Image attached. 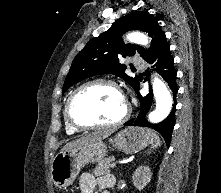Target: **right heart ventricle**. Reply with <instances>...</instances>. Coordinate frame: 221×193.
<instances>
[{
	"instance_id": "e07e8e85",
	"label": "right heart ventricle",
	"mask_w": 221,
	"mask_h": 193,
	"mask_svg": "<svg viewBox=\"0 0 221 193\" xmlns=\"http://www.w3.org/2000/svg\"><path fill=\"white\" fill-rule=\"evenodd\" d=\"M65 127H66V132H67L68 134H70V135H74V134H76V133L79 132L78 129L73 128V127L68 123V121H67V119H66V115H65Z\"/></svg>"
}]
</instances>
